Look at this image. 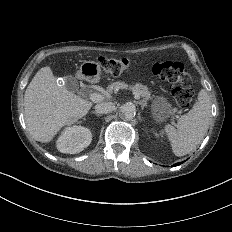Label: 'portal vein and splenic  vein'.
Returning <instances> with one entry per match:
<instances>
[{
  "mask_svg": "<svg viewBox=\"0 0 232 232\" xmlns=\"http://www.w3.org/2000/svg\"><path fill=\"white\" fill-rule=\"evenodd\" d=\"M88 98L90 100H92L93 102H99L102 100L103 96L101 94H98V93H91V94H89ZM135 99H140V95L135 94Z\"/></svg>",
  "mask_w": 232,
  "mask_h": 232,
  "instance_id": "obj_1",
  "label": "portal vein and splenic vein"
}]
</instances>
